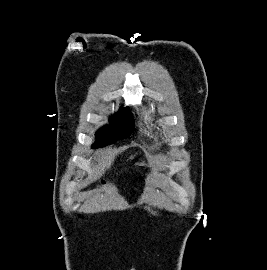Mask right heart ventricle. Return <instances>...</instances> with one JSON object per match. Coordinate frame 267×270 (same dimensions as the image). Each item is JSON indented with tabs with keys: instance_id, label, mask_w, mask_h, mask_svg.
<instances>
[{
	"instance_id": "obj_1",
	"label": "right heart ventricle",
	"mask_w": 267,
	"mask_h": 270,
	"mask_svg": "<svg viewBox=\"0 0 267 270\" xmlns=\"http://www.w3.org/2000/svg\"><path fill=\"white\" fill-rule=\"evenodd\" d=\"M147 124H148V128L150 130H154L156 128V124H154L153 121L150 118H148Z\"/></svg>"
}]
</instances>
